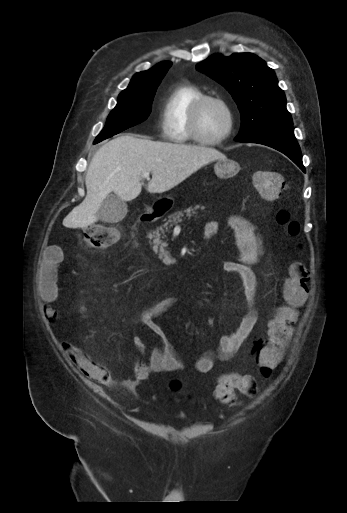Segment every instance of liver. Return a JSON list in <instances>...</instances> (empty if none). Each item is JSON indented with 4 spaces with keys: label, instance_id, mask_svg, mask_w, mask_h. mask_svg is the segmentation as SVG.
<instances>
[{
    "label": "liver",
    "instance_id": "liver-1",
    "mask_svg": "<svg viewBox=\"0 0 347 513\" xmlns=\"http://www.w3.org/2000/svg\"><path fill=\"white\" fill-rule=\"evenodd\" d=\"M226 156L215 148L156 142L123 135L104 144L94 155L85 178L87 195L63 220L67 228H86L109 193L132 201L142 190V175L151 173L150 193H163L183 182L202 166Z\"/></svg>",
    "mask_w": 347,
    "mask_h": 513
}]
</instances>
